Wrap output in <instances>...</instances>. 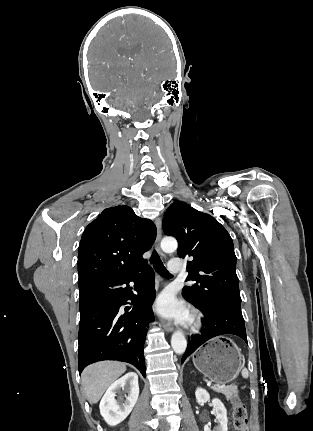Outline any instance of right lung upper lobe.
Instances as JSON below:
<instances>
[{"label":"right lung upper lobe","mask_w":313,"mask_h":431,"mask_svg":"<svg viewBox=\"0 0 313 431\" xmlns=\"http://www.w3.org/2000/svg\"><path fill=\"white\" fill-rule=\"evenodd\" d=\"M156 238L152 221L126 205L105 209L85 229L78 254L79 283L129 275L146 266L142 255Z\"/></svg>","instance_id":"right-lung-upper-lobe-1"}]
</instances>
